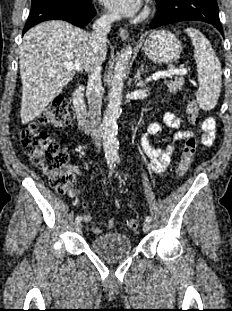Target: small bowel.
Wrapping results in <instances>:
<instances>
[{
    "label": "small bowel",
    "instance_id": "small-bowel-1",
    "mask_svg": "<svg viewBox=\"0 0 232 311\" xmlns=\"http://www.w3.org/2000/svg\"><path fill=\"white\" fill-rule=\"evenodd\" d=\"M163 122L168 128L175 131L164 147L154 148L148 141V136L161 137L165 134L163 128L156 123H152L147 127V131L142 136L140 142L142 149L150 158V167L152 171L158 174L163 173L168 167L177 142L194 135L191 130L184 128L182 119L177 117L172 112L164 113ZM197 125L201 127L203 131L201 144L206 147L213 145L215 141V121L212 118H206L200 121ZM115 206L118 207L119 203L115 202ZM83 218L86 223H89L92 220L91 216L86 213L84 214ZM113 225L114 218L108 222L107 227L111 228ZM92 232L94 234H101L102 229L93 227Z\"/></svg>",
    "mask_w": 232,
    "mask_h": 311
}]
</instances>
